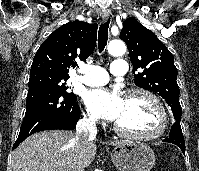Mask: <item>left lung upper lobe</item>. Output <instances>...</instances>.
<instances>
[{"mask_svg":"<svg viewBox=\"0 0 199 171\" xmlns=\"http://www.w3.org/2000/svg\"><path fill=\"white\" fill-rule=\"evenodd\" d=\"M120 38L127 44L133 64L134 83L161 96L171 107L175 120L180 121L177 68L172 53L157 36L134 18L123 22Z\"/></svg>","mask_w":199,"mask_h":171,"instance_id":"left-lung-upper-lobe-1","label":"left lung upper lobe"}]
</instances>
